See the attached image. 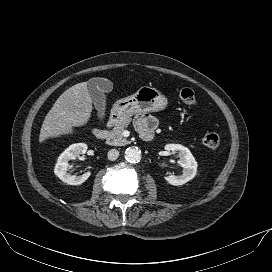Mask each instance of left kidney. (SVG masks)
<instances>
[{
  "label": "left kidney",
  "instance_id": "1",
  "mask_svg": "<svg viewBox=\"0 0 272 272\" xmlns=\"http://www.w3.org/2000/svg\"><path fill=\"white\" fill-rule=\"evenodd\" d=\"M165 150L177 152L179 165L183 168V173L179 176H166L165 180L174 186H180L193 179L197 173V162L190 150L180 144H167Z\"/></svg>",
  "mask_w": 272,
  "mask_h": 272
}]
</instances>
